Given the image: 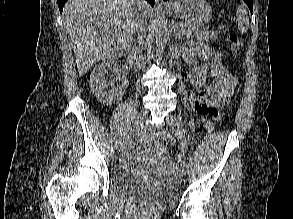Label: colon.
<instances>
[{
    "mask_svg": "<svg viewBox=\"0 0 293 219\" xmlns=\"http://www.w3.org/2000/svg\"><path fill=\"white\" fill-rule=\"evenodd\" d=\"M230 41V51L233 54H236L243 47V40L236 33L232 32L229 35ZM201 113H208V108L202 106L199 108ZM205 130L210 133L214 128V124L212 121H207L204 125ZM151 141L154 146L160 152H166L169 147L174 143L173 136L168 131H160L158 133H154L150 136Z\"/></svg>",
    "mask_w": 293,
    "mask_h": 219,
    "instance_id": "5ec220e1",
    "label": "colon"
}]
</instances>
